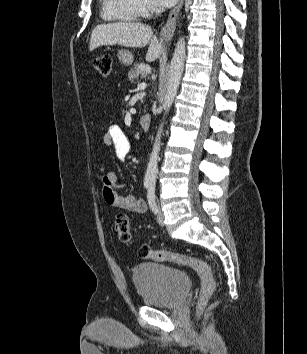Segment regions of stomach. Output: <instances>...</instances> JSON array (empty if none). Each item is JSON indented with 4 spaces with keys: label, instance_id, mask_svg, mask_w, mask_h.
<instances>
[{
    "label": "stomach",
    "instance_id": "1",
    "mask_svg": "<svg viewBox=\"0 0 307 354\" xmlns=\"http://www.w3.org/2000/svg\"><path fill=\"white\" fill-rule=\"evenodd\" d=\"M118 60L121 64L129 66L133 62V54L125 49H122L118 52Z\"/></svg>",
    "mask_w": 307,
    "mask_h": 354
}]
</instances>
